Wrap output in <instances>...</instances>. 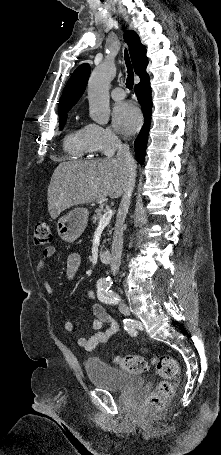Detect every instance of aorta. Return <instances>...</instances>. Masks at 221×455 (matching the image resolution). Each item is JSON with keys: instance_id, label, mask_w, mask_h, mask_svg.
Listing matches in <instances>:
<instances>
[{"instance_id": "1", "label": "aorta", "mask_w": 221, "mask_h": 455, "mask_svg": "<svg viewBox=\"0 0 221 455\" xmlns=\"http://www.w3.org/2000/svg\"><path fill=\"white\" fill-rule=\"evenodd\" d=\"M114 76V65L106 61L92 72L88 81L89 114L101 125L109 121V85Z\"/></svg>"}]
</instances>
